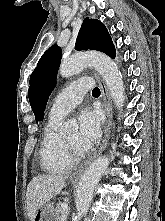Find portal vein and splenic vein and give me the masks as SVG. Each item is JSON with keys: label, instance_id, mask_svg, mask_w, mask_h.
Here are the masks:
<instances>
[{"label": "portal vein and splenic vein", "instance_id": "1", "mask_svg": "<svg viewBox=\"0 0 165 221\" xmlns=\"http://www.w3.org/2000/svg\"><path fill=\"white\" fill-rule=\"evenodd\" d=\"M62 208H63L62 221H66L69 209L66 204H62Z\"/></svg>", "mask_w": 165, "mask_h": 221}]
</instances>
